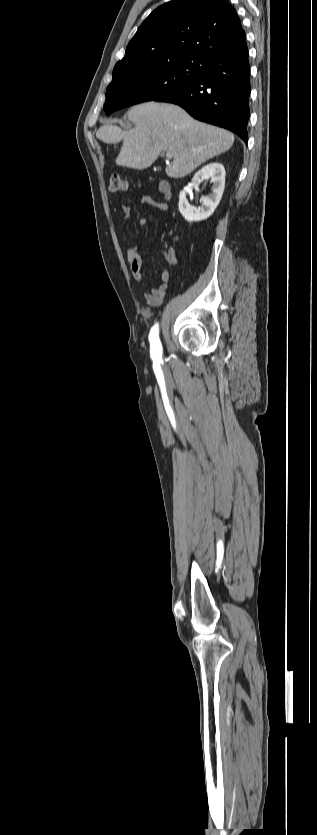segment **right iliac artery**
Wrapping results in <instances>:
<instances>
[{
	"instance_id": "82829eb1",
	"label": "right iliac artery",
	"mask_w": 317,
	"mask_h": 835,
	"mask_svg": "<svg viewBox=\"0 0 317 835\" xmlns=\"http://www.w3.org/2000/svg\"><path fill=\"white\" fill-rule=\"evenodd\" d=\"M150 354L153 360H159L162 356V346L159 339V326L155 324L149 334Z\"/></svg>"
}]
</instances>
